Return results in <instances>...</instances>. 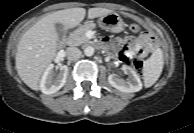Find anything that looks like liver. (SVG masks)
Here are the masks:
<instances>
[{
	"label": "liver",
	"instance_id": "obj_1",
	"mask_svg": "<svg viewBox=\"0 0 194 133\" xmlns=\"http://www.w3.org/2000/svg\"><path fill=\"white\" fill-rule=\"evenodd\" d=\"M106 8H90L88 18L94 19L112 13ZM84 8H71L47 14L21 37L15 57L16 70L22 81L32 90L40 89V78L54 60L59 40L55 24L74 28L85 18Z\"/></svg>",
	"mask_w": 194,
	"mask_h": 133
}]
</instances>
